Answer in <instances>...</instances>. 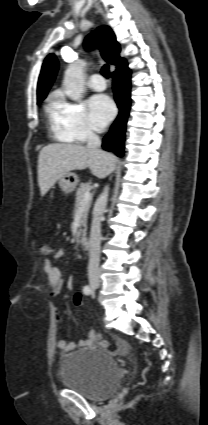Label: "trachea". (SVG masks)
Here are the masks:
<instances>
[{
    "mask_svg": "<svg viewBox=\"0 0 208 425\" xmlns=\"http://www.w3.org/2000/svg\"><path fill=\"white\" fill-rule=\"evenodd\" d=\"M101 74L106 77L109 78L110 77V71H109V66L108 65H104L101 69Z\"/></svg>",
    "mask_w": 208,
    "mask_h": 425,
    "instance_id": "1",
    "label": "trachea"
}]
</instances>
